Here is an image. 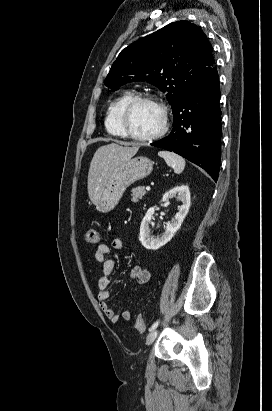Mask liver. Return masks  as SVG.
<instances>
[{"instance_id":"1","label":"liver","mask_w":272,"mask_h":411,"mask_svg":"<svg viewBox=\"0 0 272 411\" xmlns=\"http://www.w3.org/2000/svg\"><path fill=\"white\" fill-rule=\"evenodd\" d=\"M139 145L123 147L115 143L101 146L95 152L88 173V195L93 204H98L105 183L121 163L132 158Z\"/></svg>"}]
</instances>
